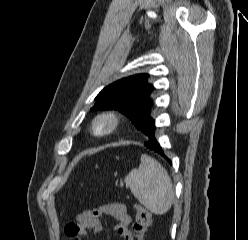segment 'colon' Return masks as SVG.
<instances>
[{"mask_svg":"<svg viewBox=\"0 0 248 240\" xmlns=\"http://www.w3.org/2000/svg\"><path fill=\"white\" fill-rule=\"evenodd\" d=\"M135 214L133 240H143L151 224V214L147 209L139 205L135 207Z\"/></svg>","mask_w":248,"mask_h":240,"instance_id":"colon-1","label":"colon"}]
</instances>
